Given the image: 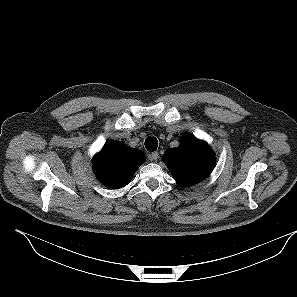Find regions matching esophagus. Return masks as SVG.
<instances>
[{"instance_id": "esophagus-1", "label": "esophagus", "mask_w": 297, "mask_h": 297, "mask_svg": "<svg viewBox=\"0 0 297 297\" xmlns=\"http://www.w3.org/2000/svg\"><path fill=\"white\" fill-rule=\"evenodd\" d=\"M159 158V153L158 152H153L151 154V160L156 161Z\"/></svg>"}]
</instances>
